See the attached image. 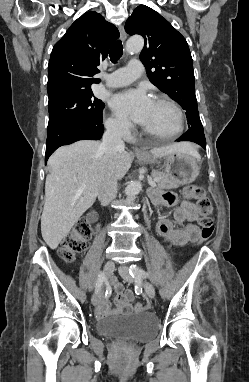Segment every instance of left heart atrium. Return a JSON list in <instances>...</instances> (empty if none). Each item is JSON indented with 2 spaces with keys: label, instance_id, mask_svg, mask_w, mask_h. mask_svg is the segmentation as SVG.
<instances>
[{
  "label": "left heart atrium",
  "instance_id": "obj_1",
  "mask_svg": "<svg viewBox=\"0 0 249 382\" xmlns=\"http://www.w3.org/2000/svg\"><path fill=\"white\" fill-rule=\"evenodd\" d=\"M111 107L120 116L142 124L153 104V99L143 88L130 89L116 94L111 99Z\"/></svg>",
  "mask_w": 249,
  "mask_h": 382
}]
</instances>
